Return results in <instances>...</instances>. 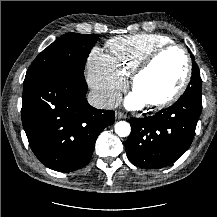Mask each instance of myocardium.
I'll return each instance as SVG.
<instances>
[{"instance_id":"1","label":"myocardium","mask_w":217,"mask_h":217,"mask_svg":"<svg viewBox=\"0 0 217 217\" xmlns=\"http://www.w3.org/2000/svg\"><path fill=\"white\" fill-rule=\"evenodd\" d=\"M179 51L184 59H185V74L184 77L179 85V87L176 89L175 92H173L171 95L158 100V101H153V102H148L146 103L149 107L151 108H156V109H162L164 107H167L176 101H178L186 92L191 78H192V61L189 53L187 50L179 45V44H166L164 46L156 48L154 51H152L132 72L131 74V80H130V85L132 90H134L135 85L138 81V79L150 68V66L164 53L169 52V51Z\"/></svg>"}]
</instances>
